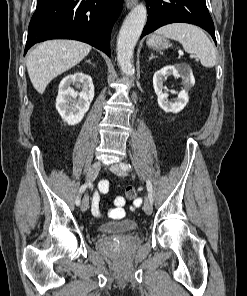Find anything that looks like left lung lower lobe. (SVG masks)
I'll return each mask as SVG.
<instances>
[{"label":"left lung lower lobe","instance_id":"1","mask_svg":"<svg viewBox=\"0 0 247 296\" xmlns=\"http://www.w3.org/2000/svg\"><path fill=\"white\" fill-rule=\"evenodd\" d=\"M147 24L141 38L159 27L176 22L200 26L210 33L216 43L214 24L205 0H145Z\"/></svg>","mask_w":247,"mask_h":296}]
</instances>
